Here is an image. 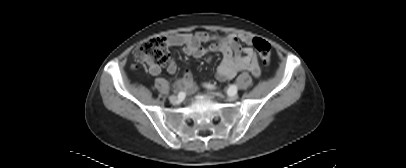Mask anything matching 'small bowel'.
Here are the masks:
<instances>
[{
  "mask_svg": "<svg viewBox=\"0 0 406 168\" xmlns=\"http://www.w3.org/2000/svg\"><path fill=\"white\" fill-rule=\"evenodd\" d=\"M212 42L208 48H203L202 43ZM242 43L249 44L251 36L248 34H228L224 36L214 35L205 31H198L194 34L179 33L167 38V44L171 47H182L186 55L201 58L209 52L222 54V60L217 68L216 77L219 81H226L234 78L239 72H250L254 77L261 74L259 59L255 50L251 47H242ZM177 64L171 60L167 65L170 74L177 72ZM153 75L161 72L159 65L149 66ZM175 86L187 93H195L197 86L190 71H186L182 78L175 79Z\"/></svg>",
  "mask_w": 406,
  "mask_h": 168,
  "instance_id": "1",
  "label": "small bowel"
}]
</instances>
